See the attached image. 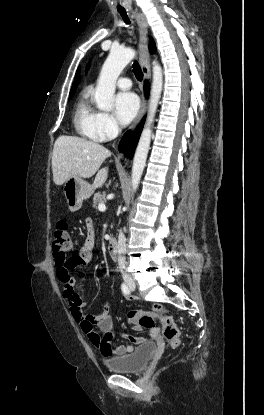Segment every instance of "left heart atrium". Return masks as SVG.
<instances>
[{"label":"left heart atrium","instance_id":"left-heart-atrium-1","mask_svg":"<svg viewBox=\"0 0 264 415\" xmlns=\"http://www.w3.org/2000/svg\"><path fill=\"white\" fill-rule=\"evenodd\" d=\"M139 109L137 96L131 92H121L115 97V115L117 120L126 125L136 116Z\"/></svg>","mask_w":264,"mask_h":415}]
</instances>
